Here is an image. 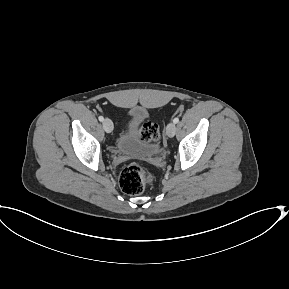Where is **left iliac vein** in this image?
Segmentation results:
<instances>
[{"instance_id": "left-iliac-vein-1", "label": "left iliac vein", "mask_w": 289, "mask_h": 289, "mask_svg": "<svg viewBox=\"0 0 289 289\" xmlns=\"http://www.w3.org/2000/svg\"><path fill=\"white\" fill-rule=\"evenodd\" d=\"M166 133L169 137H173L176 133V125L174 122H171L166 127Z\"/></svg>"}]
</instances>
